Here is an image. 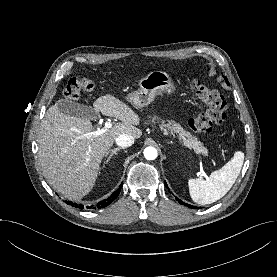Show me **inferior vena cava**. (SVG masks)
<instances>
[{"label": "inferior vena cava", "instance_id": "inferior-vena-cava-1", "mask_svg": "<svg viewBox=\"0 0 277 277\" xmlns=\"http://www.w3.org/2000/svg\"><path fill=\"white\" fill-rule=\"evenodd\" d=\"M115 142L122 148L129 147L134 143V137L128 134H122L116 138Z\"/></svg>", "mask_w": 277, "mask_h": 277}]
</instances>
